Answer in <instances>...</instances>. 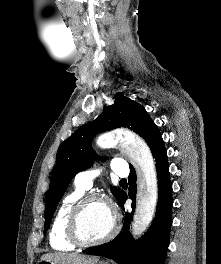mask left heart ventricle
<instances>
[{
    "instance_id": "obj_1",
    "label": "left heart ventricle",
    "mask_w": 221,
    "mask_h": 264,
    "mask_svg": "<svg viewBox=\"0 0 221 264\" xmlns=\"http://www.w3.org/2000/svg\"><path fill=\"white\" fill-rule=\"evenodd\" d=\"M112 225V213L100 202L88 203L80 217V234L85 240L93 241L104 237Z\"/></svg>"
}]
</instances>
